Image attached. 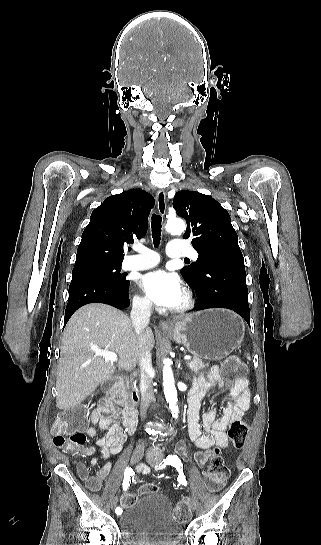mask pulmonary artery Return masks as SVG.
<instances>
[{"label":"pulmonary artery","mask_w":321,"mask_h":545,"mask_svg":"<svg viewBox=\"0 0 321 545\" xmlns=\"http://www.w3.org/2000/svg\"><path fill=\"white\" fill-rule=\"evenodd\" d=\"M168 247L170 250L169 258L171 261H193L194 258H196L194 248L192 246H188L186 241H171ZM144 249L145 251L142 255L144 260L126 258L122 262V269L126 271H142L156 266L160 261V259L157 258V252L147 248Z\"/></svg>","instance_id":"pulmonary-artery-1"}]
</instances>
